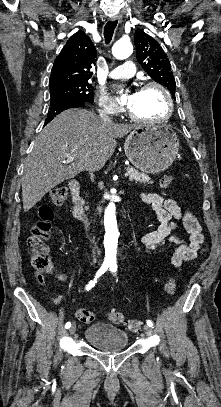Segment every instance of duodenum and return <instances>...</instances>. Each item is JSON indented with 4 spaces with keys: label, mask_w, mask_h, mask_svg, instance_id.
<instances>
[{
    "label": "duodenum",
    "mask_w": 221,
    "mask_h": 407,
    "mask_svg": "<svg viewBox=\"0 0 221 407\" xmlns=\"http://www.w3.org/2000/svg\"><path fill=\"white\" fill-rule=\"evenodd\" d=\"M72 196V215L75 219L88 222V212L84 208V200L81 194V184L78 182L70 185Z\"/></svg>",
    "instance_id": "obj_1"
}]
</instances>
